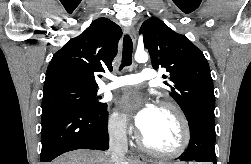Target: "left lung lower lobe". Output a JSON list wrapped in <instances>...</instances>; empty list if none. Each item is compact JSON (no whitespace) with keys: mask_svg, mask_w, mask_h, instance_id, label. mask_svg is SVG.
Segmentation results:
<instances>
[{"mask_svg":"<svg viewBox=\"0 0 251 164\" xmlns=\"http://www.w3.org/2000/svg\"><path fill=\"white\" fill-rule=\"evenodd\" d=\"M190 141L186 153L178 159L182 161L216 162L214 114L198 111L188 118Z\"/></svg>","mask_w":251,"mask_h":164,"instance_id":"0a47b994","label":"left lung lower lobe"}]
</instances>
